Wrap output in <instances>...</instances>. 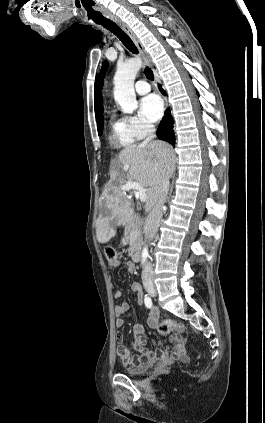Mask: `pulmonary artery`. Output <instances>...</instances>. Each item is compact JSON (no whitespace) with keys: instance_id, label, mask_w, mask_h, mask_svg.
I'll list each match as a JSON object with an SVG mask.
<instances>
[{"instance_id":"pulmonary-artery-1","label":"pulmonary artery","mask_w":265,"mask_h":423,"mask_svg":"<svg viewBox=\"0 0 265 423\" xmlns=\"http://www.w3.org/2000/svg\"><path fill=\"white\" fill-rule=\"evenodd\" d=\"M151 90L150 85L145 80H138L135 83V91L140 94L144 95Z\"/></svg>"}]
</instances>
